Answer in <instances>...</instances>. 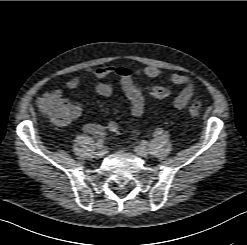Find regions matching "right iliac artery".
Instances as JSON below:
<instances>
[{
  "mask_svg": "<svg viewBox=\"0 0 247 245\" xmlns=\"http://www.w3.org/2000/svg\"><path fill=\"white\" fill-rule=\"evenodd\" d=\"M104 145V141L102 139H98L97 142H96V147L98 149H101Z\"/></svg>",
  "mask_w": 247,
  "mask_h": 245,
  "instance_id": "obj_1",
  "label": "right iliac artery"
}]
</instances>
